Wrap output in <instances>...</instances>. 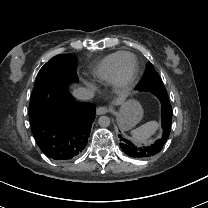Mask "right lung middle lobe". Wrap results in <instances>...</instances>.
Returning <instances> with one entry per match:
<instances>
[{
    "label": "right lung middle lobe",
    "mask_w": 208,
    "mask_h": 208,
    "mask_svg": "<svg viewBox=\"0 0 208 208\" xmlns=\"http://www.w3.org/2000/svg\"><path fill=\"white\" fill-rule=\"evenodd\" d=\"M77 58L74 55H57L50 59L40 70L33 92L36 87L47 83V79H50L55 72V78L57 85L60 89H67L71 82H77L78 77L76 75ZM32 102L29 105L30 118L36 116V113L32 110Z\"/></svg>",
    "instance_id": "1"
}]
</instances>
